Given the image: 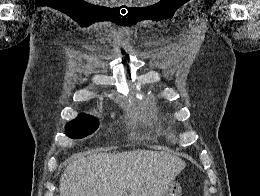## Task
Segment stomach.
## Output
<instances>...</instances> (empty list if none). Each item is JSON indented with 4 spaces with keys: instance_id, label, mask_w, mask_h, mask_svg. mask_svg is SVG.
Returning a JSON list of instances; mask_svg holds the SVG:
<instances>
[{
    "instance_id": "stomach-1",
    "label": "stomach",
    "mask_w": 260,
    "mask_h": 196,
    "mask_svg": "<svg viewBox=\"0 0 260 196\" xmlns=\"http://www.w3.org/2000/svg\"><path fill=\"white\" fill-rule=\"evenodd\" d=\"M183 187H168L167 193H162V196H182Z\"/></svg>"
}]
</instances>
